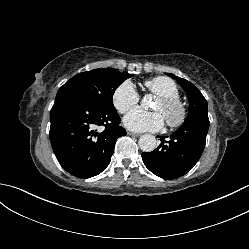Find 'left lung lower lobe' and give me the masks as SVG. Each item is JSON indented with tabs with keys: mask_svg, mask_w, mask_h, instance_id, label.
<instances>
[{
	"mask_svg": "<svg viewBox=\"0 0 249 249\" xmlns=\"http://www.w3.org/2000/svg\"><path fill=\"white\" fill-rule=\"evenodd\" d=\"M208 129L209 119L201 118L182 124L169 138L158 136L161 144L152 152L142 153L145 166L152 173L164 179L183 176L201 157Z\"/></svg>",
	"mask_w": 249,
	"mask_h": 249,
	"instance_id": "1",
	"label": "left lung lower lobe"
}]
</instances>
